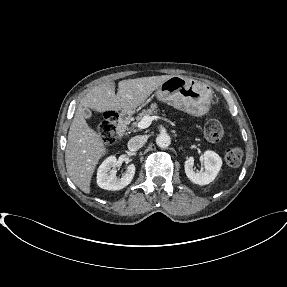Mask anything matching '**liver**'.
<instances>
[{
	"instance_id": "6515ba94",
	"label": "liver",
	"mask_w": 287,
	"mask_h": 287,
	"mask_svg": "<svg viewBox=\"0 0 287 287\" xmlns=\"http://www.w3.org/2000/svg\"><path fill=\"white\" fill-rule=\"evenodd\" d=\"M171 77L161 75L122 80L118 83L117 94L115 83L107 82L94 87L82 98L70 125L65 150L67 173L80 190L90 193V183L96 165L107 152L101 136L87 124L83 110H135L144 106L152 92Z\"/></svg>"
}]
</instances>
